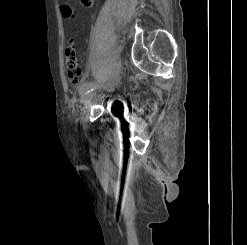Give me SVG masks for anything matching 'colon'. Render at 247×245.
I'll list each match as a JSON object with an SVG mask.
<instances>
[{
	"label": "colon",
	"instance_id": "colon-1",
	"mask_svg": "<svg viewBox=\"0 0 247 245\" xmlns=\"http://www.w3.org/2000/svg\"><path fill=\"white\" fill-rule=\"evenodd\" d=\"M66 75L72 84H77L81 76V65L76 52V40L69 38L65 47Z\"/></svg>",
	"mask_w": 247,
	"mask_h": 245
}]
</instances>
